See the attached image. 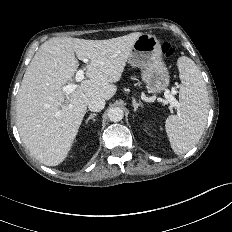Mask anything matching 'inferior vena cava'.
<instances>
[{
  "label": "inferior vena cava",
  "instance_id": "inferior-vena-cava-1",
  "mask_svg": "<svg viewBox=\"0 0 232 232\" xmlns=\"http://www.w3.org/2000/svg\"><path fill=\"white\" fill-rule=\"evenodd\" d=\"M105 107V100L101 97L93 98L89 104L88 109L93 112H99Z\"/></svg>",
  "mask_w": 232,
  "mask_h": 232
}]
</instances>
